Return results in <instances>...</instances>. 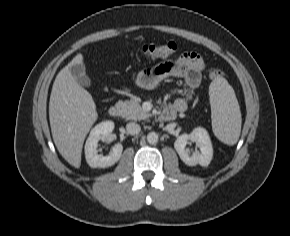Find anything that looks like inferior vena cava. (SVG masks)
<instances>
[{
  "mask_svg": "<svg viewBox=\"0 0 290 236\" xmlns=\"http://www.w3.org/2000/svg\"><path fill=\"white\" fill-rule=\"evenodd\" d=\"M126 130L129 134L135 135V134H138L140 132L141 127L139 124H137L135 122H131V123H128L126 125Z\"/></svg>",
  "mask_w": 290,
  "mask_h": 236,
  "instance_id": "602c4592",
  "label": "inferior vena cava"
}]
</instances>
